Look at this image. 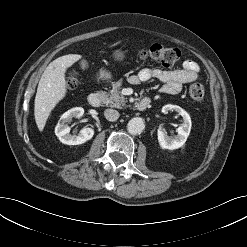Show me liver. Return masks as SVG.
<instances>
[{
  "label": "liver",
  "mask_w": 247,
  "mask_h": 247,
  "mask_svg": "<svg viewBox=\"0 0 247 247\" xmlns=\"http://www.w3.org/2000/svg\"><path fill=\"white\" fill-rule=\"evenodd\" d=\"M79 54H68L53 60L43 72L34 102V116L39 131H43L54 107L66 96V70L81 59Z\"/></svg>",
  "instance_id": "liver-1"
}]
</instances>
